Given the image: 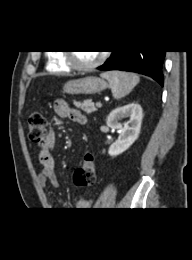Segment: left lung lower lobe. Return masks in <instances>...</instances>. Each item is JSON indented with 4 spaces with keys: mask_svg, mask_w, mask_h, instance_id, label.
<instances>
[{
    "mask_svg": "<svg viewBox=\"0 0 192 260\" xmlns=\"http://www.w3.org/2000/svg\"><path fill=\"white\" fill-rule=\"evenodd\" d=\"M166 51H115L99 70H124L144 74L163 86L162 64Z\"/></svg>",
    "mask_w": 192,
    "mask_h": 260,
    "instance_id": "1",
    "label": "left lung lower lobe"
}]
</instances>
